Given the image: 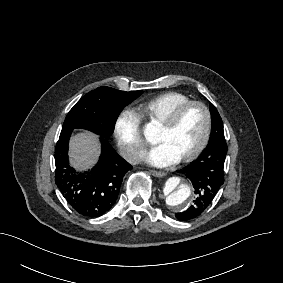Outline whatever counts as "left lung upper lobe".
I'll return each instance as SVG.
<instances>
[{"instance_id":"obj_1","label":"left lung upper lobe","mask_w":283,"mask_h":283,"mask_svg":"<svg viewBox=\"0 0 283 283\" xmlns=\"http://www.w3.org/2000/svg\"><path fill=\"white\" fill-rule=\"evenodd\" d=\"M210 112L212 116V130L210 135V140H222L224 138L223 123L221 117L215 108V106L210 103ZM216 125V126H214ZM209 140V141H210Z\"/></svg>"}]
</instances>
